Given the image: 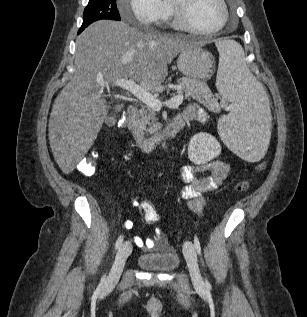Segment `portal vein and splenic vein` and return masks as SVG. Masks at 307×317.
<instances>
[{
	"instance_id": "portal-vein-and-splenic-vein-1",
	"label": "portal vein and splenic vein",
	"mask_w": 307,
	"mask_h": 317,
	"mask_svg": "<svg viewBox=\"0 0 307 317\" xmlns=\"http://www.w3.org/2000/svg\"><path fill=\"white\" fill-rule=\"evenodd\" d=\"M101 88L108 86V83L104 81H98ZM112 85L121 87L126 89L132 95H134L137 99L145 103L147 106L151 107L154 110H161L162 106L165 105L168 108H175L181 105L183 102L184 96L183 94H178L171 99L162 102L155 95L147 91L145 88L137 85L133 80L130 79H121L112 83Z\"/></svg>"
}]
</instances>
